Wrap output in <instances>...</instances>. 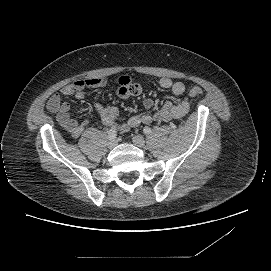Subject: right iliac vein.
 Masks as SVG:
<instances>
[{
  "instance_id": "right-iliac-vein-1",
  "label": "right iliac vein",
  "mask_w": 271,
  "mask_h": 271,
  "mask_svg": "<svg viewBox=\"0 0 271 271\" xmlns=\"http://www.w3.org/2000/svg\"><path fill=\"white\" fill-rule=\"evenodd\" d=\"M107 145H108V148H113V147H115L116 145H117V140L116 139H112V140H110L108 143H107Z\"/></svg>"
}]
</instances>
